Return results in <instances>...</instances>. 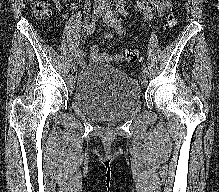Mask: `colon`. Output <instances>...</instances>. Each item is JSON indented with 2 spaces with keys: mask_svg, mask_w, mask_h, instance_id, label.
Masks as SVG:
<instances>
[{
  "mask_svg": "<svg viewBox=\"0 0 219 192\" xmlns=\"http://www.w3.org/2000/svg\"><path fill=\"white\" fill-rule=\"evenodd\" d=\"M33 10L37 17L39 18H48L52 15L54 9L52 5L46 0H34L33 2ZM175 24V15L173 12H169L164 21L165 28H171ZM102 62H110L112 60L111 56L107 53H103L101 55ZM140 59V51L138 49H130L125 51L121 55L122 61L134 64Z\"/></svg>",
  "mask_w": 219,
  "mask_h": 192,
  "instance_id": "obj_1",
  "label": "colon"
}]
</instances>
